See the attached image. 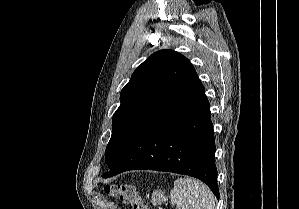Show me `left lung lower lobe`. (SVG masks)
<instances>
[{"mask_svg":"<svg viewBox=\"0 0 299 209\" xmlns=\"http://www.w3.org/2000/svg\"><path fill=\"white\" fill-rule=\"evenodd\" d=\"M210 104L198 77L167 101L131 140L109 178L134 169L196 177L219 198Z\"/></svg>","mask_w":299,"mask_h":209,"instance_id":"obj_1","label":"left lung lower lobe"}]
</instances>
